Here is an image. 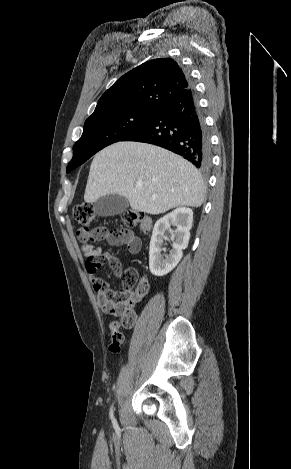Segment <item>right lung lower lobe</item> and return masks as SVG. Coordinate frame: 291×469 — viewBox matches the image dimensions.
<instances>
[{
	"label": "right lung lower lobe",
	"mask_w": 291,
	"mask_h": 469,
	"mask_svg": "<svg viewBox=\"0 0 291 469\" xmlns=\"http://www.w3.org/2000/svg\"><path fill=\"white\" fill-rule=\"evenodd\" d=\"M121 141L166 148L201 170L211 165L210 139L191 83L161 102L142 126Z\"/></svg>",
	"instance_id": "98d812e1"
}]
</instances>
